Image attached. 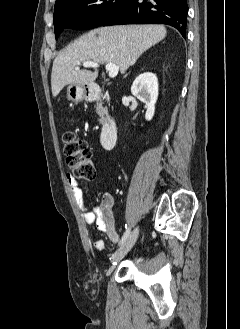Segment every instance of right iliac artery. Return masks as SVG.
Listing matches in <instances>:
<instances>
[{
	"mask_svg": "<svg viewBox=\"0 0 240 329\" xmlns=\"http://www.w3.org/2000/svg\"><path fill=\"white\" fill-rule=\"evenodd\" d=\"M129 234H130V228H127V227H126V231H125V233H124V235L122 236V239H121V241H120V244H121V245L127 240Z\"/></svg>",
	"mask_w": 240,
	"mask_h": 329,
	"instance_id": "1",
	"label": "right iliac artery"
}]
</instances>
